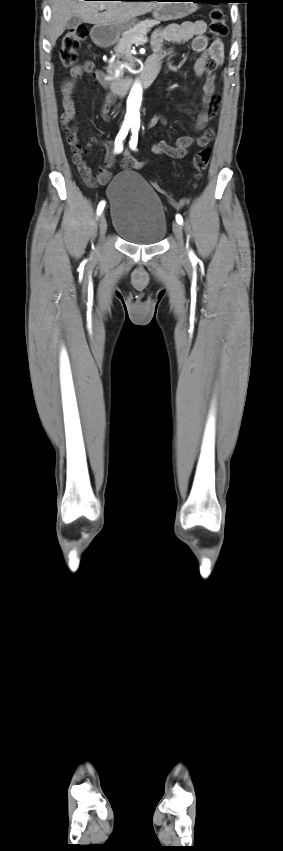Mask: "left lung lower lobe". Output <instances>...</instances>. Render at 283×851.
Returning <instances> with one entry per match:
<instances>
[{
    "mask_svg": "<svg viewBox=\"0 0 283 851\" xmlns=\"http://www.w3.org/2000/svg\"><path fill=\"white\" fill-rule=\"evenodd\" d=\"M196 2H211L213 4H218L219 2H222V0H196Z\"/></svg>",
    "mask_w": 283,
    "mask_h": 851,
    "instance_id": "left-lung-lower-lobe-1",
    "label": "left lung lower lobe"
}]
</instances>
